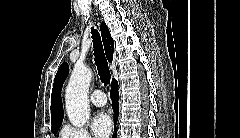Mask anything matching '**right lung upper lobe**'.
<instances>
[{
  "mask_svg": "<svg viewBox=\"0 0 240 138\" xmlns=\"http://www.w3.org/2000/svg\"><path fill=\"white\" fill-rule=\"evenodd\" d=\"M102 40L104 43L105 54L109 62L113 60L114 42L110 35L109 29L104 22L100 26ZM69 67L66 62L59 67L54 79L53 90L51 95V123L52 126L61 125L63 120V105L61 100L62 85L68 75Z\"/></svg>",
  "mask_w": 240,
  "mask_h": 138,
  "instance_id": "1",
  "label": "right lung upper lobe"
}]
</instances>
